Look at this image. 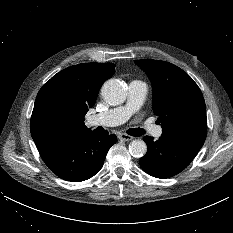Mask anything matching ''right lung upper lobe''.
Wrapping results in <instances>:
<instances>
[{
  "label": "right lung upper lobe",
  "mask_w": 233,
  "mask_h": 233,
  "mask_svg": "<svg viewBox=\"0 0 233 233\" xmlns=\"http://www.w3.org/2000/svg\"><path fill=\"white\" fill-rule=\"evenodd\" d=\"M113 63H82L54 75L37 94L30 129L37 148L92 131L84 116L95 104L103 82L114 74Z\"/></svg>",
  "instance_id": "right-lung-upper-lobe-1"
}]
</instances>
